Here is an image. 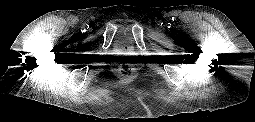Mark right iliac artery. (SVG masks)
Wrapping results in <instances>:
<instances>
[{"label": "right iliac artery", "mask_w": 255, "mask_h": 122, "mask_svg": "<svg viewBox=\"0 0 255 122\" xmlns=\"http://www.w3.org/2000/svg\"><path fill=\"white\" fill-rule=\"evenodd\" d=\"M86 29H87V26H86V25H84V26H83V30H84V31H86Z\"/></svg>", "instance_id": "obj_1"}]
</instances>
